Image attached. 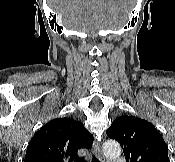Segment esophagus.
Masks as SVG:
<instances>
[{"instance_id":"34e87169","label":"esophagus","mask_w":175,"mask_h":162,"mask_svg":"<svg viewBox=\"0 0 175 162\" xmlns=\"http://www.w3.org/2000/svg\"><path fill=\"white\" fill-rule=\"evenodd\" d=\"M93 152L96 155V157L98 158V160L100 162H105L104 156L102 154L101 151V146H100V142L99 141H94L93 143Z\"/></svg>"}]
</instances>
